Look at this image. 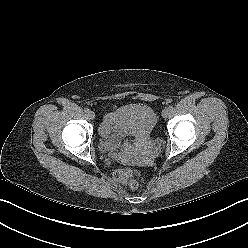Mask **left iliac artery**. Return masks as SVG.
Masks as SVG:
<instances>
[{
	"label": "left iliac artery",
	"instance_id": "1",
	"mask_svg": "<svg viewBox=\"0 0 248 248\" xmlns=\"http://www.w3.org/2000/svg\"><path fill=\"white\" fill-rule=\"evenodd\" d=\"M170 110L173 108L172 106H169Z\"/></svg>",
	"mask_w": 248,
	"mask_h": 248
}]
</instances>
